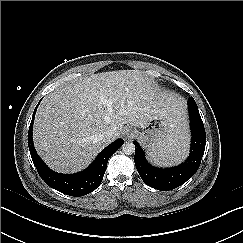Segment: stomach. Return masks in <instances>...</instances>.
Here are the masks:
<instances>
[{
    "instance_id": "obj_1",
    "label": "stomach",
    "mask_w": 243,
    "mask_h": 243,
    "mask_svg": "<svg viewBox=\"0 0 243 243\" xmlns=\"http://www.w3.org/2000/svg\"><path fill=\"white\" fill-rule=\"evenodd\" d=\"M171 135L170 121L167 116H154L142 128L139 139L151 150V155L155 154L160 144Z\"/></svg>"
}]
</instances>
